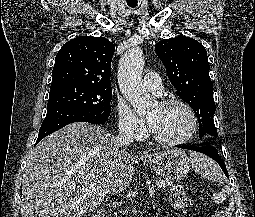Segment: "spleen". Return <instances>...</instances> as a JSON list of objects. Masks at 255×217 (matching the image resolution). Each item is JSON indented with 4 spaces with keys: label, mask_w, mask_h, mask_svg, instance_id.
<instances>
[{
    "label": "spleen",
    "mask_w": 255,
    "mask_h": 217,
    "mask_svg": "<svg viewBox=\"0 0 255 217\" xmlns=\"http://www.w3.org/2000/svg\"><path fill=\"white\" fill-rule=\"evenodd\" d=\"M191 164L193 169L201 174L202 176L209 177L215 181H222L223 175L219 166L211 159L201 155V154H191L190 155ZM210 168V170H208ZM230 191L228 186L222 188L221 192L218 194L219 201L226 199V194Z\"/></svg>",
    "instance_id": "spleen-1"
}]
</instances>
